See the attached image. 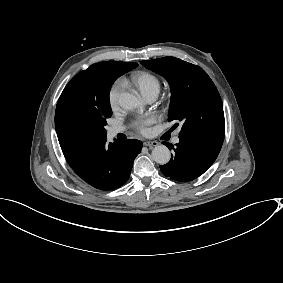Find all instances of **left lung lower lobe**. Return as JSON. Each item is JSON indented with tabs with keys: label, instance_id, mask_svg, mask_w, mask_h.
<instances>
[{
	"label": "left lung lower lobe",
	"instance_id": "0a47b994",
	"mask_svg": "<svg viewBox=\"0 0 283 283\" xmlns=\"http://www.w3.org/2000/svg\"><path fill=\"white\" fill-rule=\"evenodd\" d=\"M180 141L173 145L170 161L160 166L164 176L180 182H188L202 175L216 160L222 145L199 141L192 138L179 137Z\"/></svg>",
	"mask_w": 283,
	"mask_h": 283
}]
</instances>
